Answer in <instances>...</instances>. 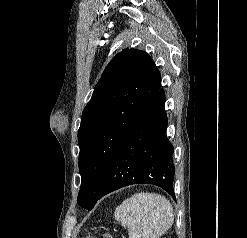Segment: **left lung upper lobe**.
I'll list each match as a JSON object with an SVG mask.
<instances>
[{"mask_svg": "<svg viewBox=\"0 0 247 238\" xmlns=\"http://www.w3.org/2000/svg\"><path fill=\"white\" fill-rule=\"evenodd\" d=\"M161 75L144 51L124 49L105 68L86 105L78 131L82 178L78 203L91 210L113 158L145 115Z\"/></svg>", "mask_w": 247, "mask_h": 238, "instance_id": "5c2ea615", "label": "left lung upper lobe"}]
</instances>
